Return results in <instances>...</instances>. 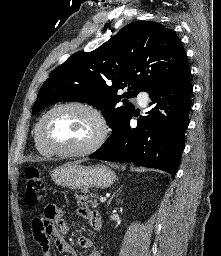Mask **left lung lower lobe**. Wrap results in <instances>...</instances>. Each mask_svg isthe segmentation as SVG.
Wrapping results in <instances>:
<instances>
[{"instance_id":"0a47b994","label":"left lung lower lobe","mask_w":221,"mask_h":256,"mask_svg":"<svg viewBox=\"0 0 221 256\" xmlns=\"http://www.w3.org/2000/svg\"><path fill=\"white\" fill-rule=\"evenodd\" d=\"M191 71L185 65L179 72L161 81L148 93L156 106L137 120L130 119L112 130V134L92 159L128 162L168 172L174 179L184 150V134L191 110Z\"/></svg>"}]
</instances>
